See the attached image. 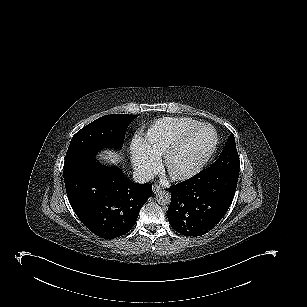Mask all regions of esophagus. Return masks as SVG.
<instances>
[{"instance_id": "esophagus-1", "label": "esophagus", "mask_w": 307, "mask_h": 307, "mask_svg": "<svg viewBox=\"0 0 307 307\" xmlns=\"http://www.w3.org/2000/svg\"><path fill=\"white\" fill-rule=\"evenodd\" d=\"M159 189H160V186L155 185V186L153 187V191H154V193L158 192V191H159Z\"/></svg>"}]
</instances>
